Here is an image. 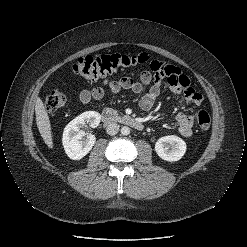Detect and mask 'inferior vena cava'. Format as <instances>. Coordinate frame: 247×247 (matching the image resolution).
<instances>
[{"instance_id":"602c4592","label":"inferior vena cava","mask_w":247,"mask_h":247,"mask_svg":"<svg viewBox=\"0 0 247 247\" xmlns=\"http://www.w3.org/2000/svg\"><path fill=\"white\" fill-rule=\"evenodd\" d=\"M119 131V125L115 122H110L109 124H107L106 126V132L109 135H115L117 134Z\"/></svg>"}]
</instances>
